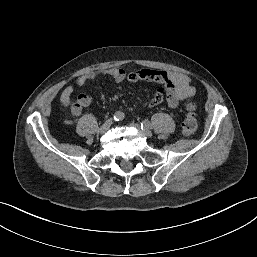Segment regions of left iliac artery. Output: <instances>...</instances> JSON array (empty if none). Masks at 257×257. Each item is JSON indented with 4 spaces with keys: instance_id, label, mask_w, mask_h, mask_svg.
I'll return each mask as SVG.
<instances>
[{
    "instance_id": "44dca946",
    "label": "left iliac artery",
    "mask_w": 257,
    "mask_h": 257,
    "mask_svg": "<svg viewBox=\"0 0 257 257\" xmlns=\"http://www.w3.org/2000/svg\"><path fill=\"white\" fill-rule=\"evenodd\" d=\"M152 125L148 120H145L141 123V129H151Z\"/></svg>"
}]
</instances>
